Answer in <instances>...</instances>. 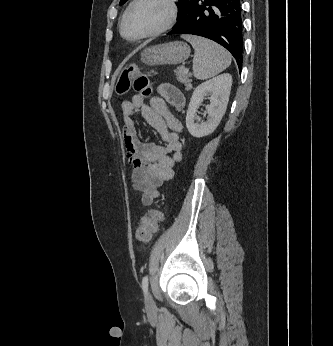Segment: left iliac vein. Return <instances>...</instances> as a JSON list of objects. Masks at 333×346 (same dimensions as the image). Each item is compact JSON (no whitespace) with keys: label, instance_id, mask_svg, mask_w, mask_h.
I'll use <instances>...</instances> for the list:
<instances>
[{"label":"left iliac vein","instance_id":"1","mask_svg":"<svg viewBox=\"0 0 333 346\" xmlns=\"http://www.w3.org/2000/svg\"><path fill=\"white\" fill-rule=\"evenodd\" d=\"M156 303L150 293L146 294V310L148 315H154L156 313Z\"/></svg>","mask_w":333,"mask_h":346}]
</instances>
